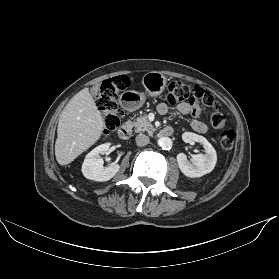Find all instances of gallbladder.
I'll return each mask as SVG.
<instances>
[{"label":"gallbladder","mask_w":279,"mask_h":279,"mask_svg":"<svg viewBox=\"0 0 279 279\" xmlns=\"http://www.w3.org/2000/svg\"><path fill=\"white\" fill-rule=\"evenodd\" d=\"M91 92H92L93 96H97L99 90H98V88H97L96 86H94V87L91 89Z\"/></svg>","instance_id":"obj_1"}]
</instances>
